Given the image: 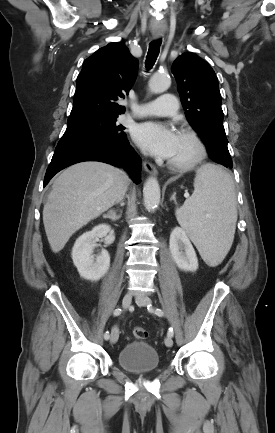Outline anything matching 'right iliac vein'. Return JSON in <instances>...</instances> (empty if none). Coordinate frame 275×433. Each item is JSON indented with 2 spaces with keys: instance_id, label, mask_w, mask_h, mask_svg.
<instances>
[{
  "instance_id": "obj_1",
  "label": "right iliac vein",
  "mask_w": 275,
  "mask_h": 433,
  "mask_svg": "<svg viewBox=\"0 0 275 433\" xmlns=\"http://www.w3.org/2000/svg\"><path fill=\"white\" fill-rule=\"evenodd\" d=\"M132 302V294L131 293H127L122 300V306L124 309H127L130 304ZM119 338V329L117 326H115L112 331H111V337H110V342L111 343H116L117 340Z\"/></svg>"
}]
</instances>
